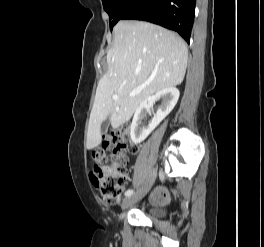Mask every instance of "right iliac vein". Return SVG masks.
<instances>
[{
	"label": "right iliac vein",
	"mask_w": 264,
	"mask_h": 247,
	"mask_svg": "<svg viewBox=\"0 0 264 247\" xmlns=\"http://www.w3.org/2000/svg\"><path fill=\"white\" fill-rule=\"evenodd\" d=\"M156 178V171L153 170L146 182L144 183V185L142 186V188H140L136 193H134L133 195H130L129 197H127L126 199H124L123 204H122V209H127L128 207L132 206L133 204L137 203L138 201H140L146 194L147 192L150 190V188L152 187L154 181Z\"/></svg>",
	"instance_id": "1"
}]
</instances>
